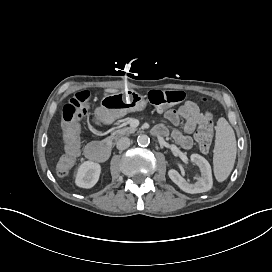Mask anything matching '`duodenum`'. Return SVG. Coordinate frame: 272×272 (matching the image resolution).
Listing matches in <instances>:
<instances>
[{"label":"duodenum","mask_w":272,"mask_h":272,"mask_svg":"<svg viewBox=\"0 0 272 272\" xmlns=\"http://www.w3.org/2000/svg\"><path fill=\"white\" fill-rule=\"evenodd\" d=\"M108 120L109 115L106 110L101 109L97 112L95 116L96 123L105 124L108 122ZM111 151L112 145L110 143L92 142L87 145L85 149V155L92 161L104 162L110 157Z\"/></svg>","instance_id":"1"}]
</instances>
